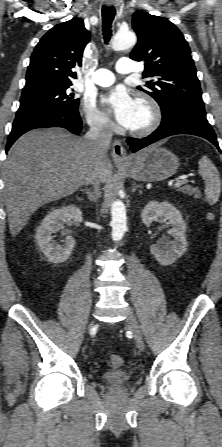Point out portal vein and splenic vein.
Returning <instances> with one entry per match:
<instances>
[{"label":"portal vein and splenic vein","mask_w":222,"mask_h":447,"mask_svg":"<svg viewBox=\"0 0 222 447\" xmlns=\"http://www.w3.org/2000/svg\"><path fill=\"white\" fill-rule=\"evenodd\" d=\"M188 183H189V180H187V179H180V180H177V181L174 183L173 188H179V187H181L182 185H186V184H188Z\"/></svg>","instance_id":"obj_1"}]
</instances>
